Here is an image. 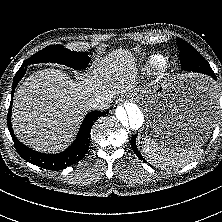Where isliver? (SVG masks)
<instances>
[{"label":"liver","mask_w":222,"mask_h":222,"mask_svg":"<svg viewBox=\"0 0 222 222\" xmlns=\"http://www.w3.org/2000/svg\"><path fill=\"white\" fill-rule=\"evenodd\" d=\"M137 74L134 57L127 50L111 52L76 81L58 69L37 71L14 93V133L37 151L59 152L74 139L88 111L87 101L97 95L112 99L119 92L142 91L136 86Z\"/></svg>","instance_id":"obj_1"}]
</instances>
